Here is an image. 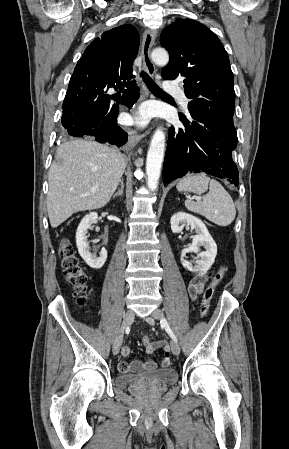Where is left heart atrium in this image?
<instances>
[{
	"instance_id": "left-heart-atrium-1",
	"label": "left heart atrium",
	"mask_w": 289,
	"mask_h": 449,
	"mask_svg": "<svg viewBox=\"0 0 289 449\" xmlns=\"http://www.w3.org/2000/svg\"><path fill=\"white\" fill-rule=\"evenodd\" d=\"M149 116H150V110L146 107H143L137 112V114L135 116L130 118L129 122L145 124L148 121Z\"/></svg>"
}]
</instances>
